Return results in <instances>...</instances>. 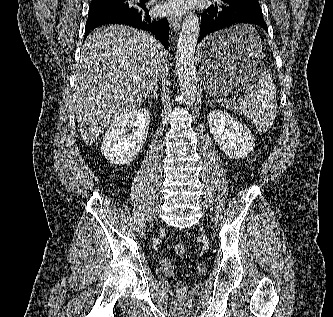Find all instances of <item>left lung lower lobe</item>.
I'll return each instance as SVG.
<instances>
[{
  "label": "left lung lower lobe",
  "instance_id": "obj_1",
  "mask_svg": "<svg viewBox=\"0 0 333 317\" xmlns=\"http://www.w3.org/2000/svg\"><path fill=\"white\" fill-rule=\"evenodd\" d=\"M238 24H255L268 32L258 0H216L201 15L198 42L210 33ZM215 56L226 54L222 47L212 48Z\"/></svg>",
  "mask_w": 333,
  "mask_h": 317
}]
</instances>
